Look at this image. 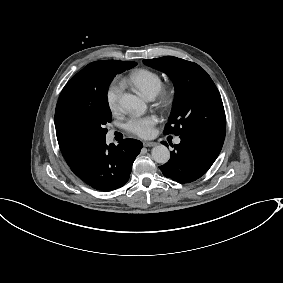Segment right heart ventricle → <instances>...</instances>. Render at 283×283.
<instances>
[{"instance_id": "1", "label": "right heart ventricle", "mask_w": 283, "mask_h": 283, "mask_svg": "<svg viewBox=\"0 0 283 283\" xmlns=\"http://www.w3.org/2000/svg\"><path fill=\"white\" fill-rule=\"evenodd\" d=\"M126 85L134 86L145 96H155L162 86L160 75L146 67L132 68L124 77Z\"/></svg>"}]
</instances>
